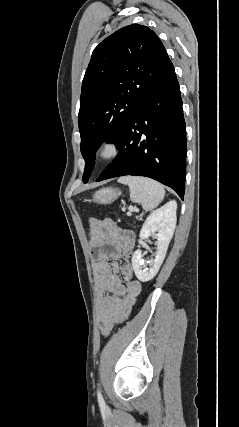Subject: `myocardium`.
Segmentation results:
<instances>
[{"mask_svg": "<svg viewBox=\"0 0 239 427\" xmlns=\"http://www.w3.org/2000/svg\"><path fill=\"white\" fill-rule=\"evenodd\" d=\"M123 150L122 143L116 136L102 139L96 148V157L100 161L109 162L117 159Z\"/></svg>", "mask_w": 239, "mask_h": 427, "instance_id": "myocardium-1", "label": "myocardium"}]
</instances>
